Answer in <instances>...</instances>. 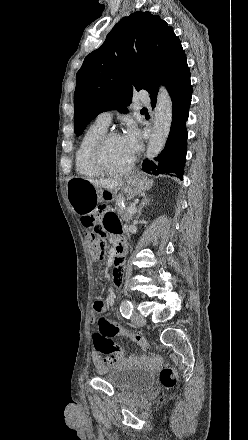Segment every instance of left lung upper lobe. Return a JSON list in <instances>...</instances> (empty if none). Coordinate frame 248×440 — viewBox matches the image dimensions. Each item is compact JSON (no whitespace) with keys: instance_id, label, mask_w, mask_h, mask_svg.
Segmentation results:
<instances>
[{"instance_id":"1","label":"left lung upper lobe","mask_w":248,"mask_h":440,"mask_svg":"<svg viewBox=\"0 0 248 440\" xmlns=\"http://www.w3.org/2000/svg\"><path fill=\"white\" fill-rule=\"evenodd\" d=\"M189 78L185 52L172 27L148 11L124 17L77 72L74 133L81 135L101 112H127L133 90H147L152 101L159 83L169 91Z\"/></svg>"}]
</instances>
